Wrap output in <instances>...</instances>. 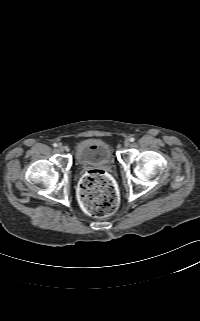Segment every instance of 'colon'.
Wrapping results in <instances>:
<instances>
[{"instance_id":"1","label":"colon","mask_w":200,"mask_h":321,"mask_svg":"<svg viewBox=\"0 0 200 321\" xmlns=\"http://www.w3.org/2000/svg\"><path fill=\"white\" fill-rule=\"evenodd\" d=\"M84 210L95 217H106L118 207V195L108 175L100 169L86 173L79 184Z\"/></svg>"}]
</instances>
